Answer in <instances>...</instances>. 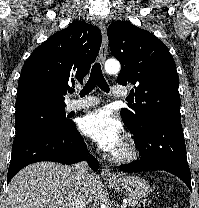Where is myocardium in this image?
Masks as SVG:
<instances>
[{
  "label": "myocardium",
  "mask_w": 199,
  "mask_h": 208,
  "mask_svg": "<svg viewBox=\"0 0 199 208\" xmlns=\"http://www.w3.org/2000/svg\"><path fill=\"white\" fill-rule=\"evenodd\" d=\"M123 153L109 155V160L117 164H127L135 161L139 157V147L129 136H126L122 142Z\"/></svg>",
  "instance_id": "1"
}]
</instances>
